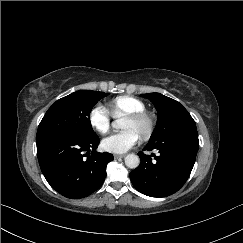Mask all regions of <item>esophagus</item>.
<instances>
[{
    "label": "esophagus",
    "mask_w": 243,
    "mask_h": 243,
    "mask_svg": "<svg viewBox=\"0 0 243 243\" xmlns=\"http://www.w3.org/2000/svg\"><path fill=\"white\" fill-rule=\"evenodd\" d=\"M124 157H125L124 154H122V155H120V154H115V155H114V158H115V159L124 158Z\"/></svg>",
    "instance_id": "esophagus-1"
}]
</instances>
